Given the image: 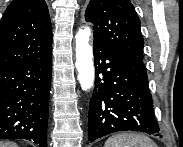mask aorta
<instances>
[{
	"instance_id": "obj_1",
	"label": "aorta",
	"mask_w": 183,
	"mask_h": 147,
	"mask_svg": "<svg viewBox=\"0 0 183 147\" xmlns=\"http://www.w3.org/2000/svg\"><path fill=\"white\" fill-rule=\"evenodd\" d=\"M91 29L85 27L80 29L75 36L76 39V62L78 80L84 91L89 90L94 83L95 70L93 64L92 47L89 44Z\"/></svg>"
}]
</instances>
